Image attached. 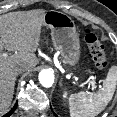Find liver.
Listing matches in <instances>:
<instances>
[{
  "label": "liver",
  "instance_id": "liver-1",
  "mask_svg": "<svg viewBox=\"0 0 117 117\" xmlns=\"http://www.w3.org/2000/svg\"><path fill=\"white\" fill-rule=\"evenodd\" d=\"M45 13V10H34L0 16V116L11 104L17 68L37 65L34 51L39 46ZM4 46L15 54L3 57Z\"/></svg>",
  "mask_w": 117,
  "mask_h": 117
}]
</instances>
